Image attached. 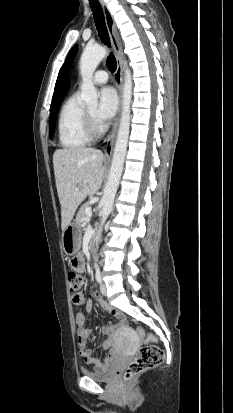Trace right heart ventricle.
I'll return each instance as SVG.
<instances>
[{
	"label": "right heart ventricle",
	"mask_w": 233,
	"mask_h": 413,
	"mask_svg": "<svg viewBox=\"0 0 233 413\" xmlns=\"http://www.w3.org/2000/svg\"><path fill=\"white\" fill-rule=\"evenodd\" d=\"M58 138L60 145L67 150L80 149L91 140L85 131V108L76 93L71 94L61 107Z\"/></svg>",
	"instance_id": "right-heart-ventricle-1"
}]
</instances>
